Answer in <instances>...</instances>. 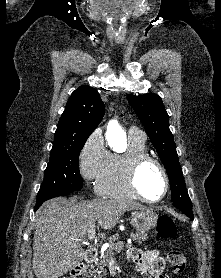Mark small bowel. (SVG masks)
<instances>
[{
  "mask_svg": "<svg viewBox=\"0 0 221 278\" xmlns=\"http://www.w3.org/2000/svg\"><path fill=\"white\" fill-rule=\"evenodd\" d=\"M129 259L134 261L139 271L145 278H164L163 270L165 263L159 256L157 250H148L142 252L140 250H131L128 254Z\"/></svg>",
  "mask_w": 221,
  "mask_h": 278,
  "instance_id": "1",
  "label": "small bowel"
}]
</instances>
